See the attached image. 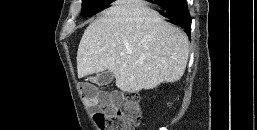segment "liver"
I'll return each mask as SVG.
<instances>
[{"label":"liver","instance_id":"6515ba94","mask_svg":"<svg viewBox=\"0 0 257 130\" xmlns=\"http://www.w3.org/2000/svg\"><path fill=\"white\" fill-rule=\"evenodd\" d=\"M189 40L140 0H119L84 31L77 51L78 77L109 71L129 93L177 82Z\"/></svg>","mask_w":257,"mask_h":130}]
</instances>
